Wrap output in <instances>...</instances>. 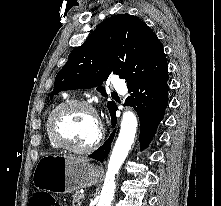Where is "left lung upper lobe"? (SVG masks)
<instances>
[{
	"instance_id": "1",
	"label": "left lung upper lobe",
	"mask_w": 221,
	"mask_h": 206,
	"mask_svg": "<svg viewBox=\"0 0 221 206\" xmlns=\"http://www.w3.org/2000/svg\"><path fill=\"white\" fill-rule=\"evenodd\" d=\"M167 68V59L157 35L139 18L120 14L102 22L85 43L74 49L58 72L50 95L62 90H97L107 96L103 81L117 74L133 86ZM110 113L116 108L107 103Z\"/></svg>"
}]
</instances>
